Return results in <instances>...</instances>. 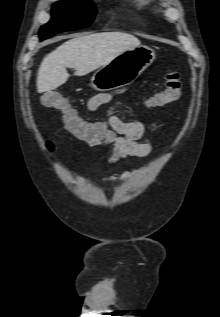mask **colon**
Wrapping results in <instances>:
<instances>
[{
	"label": "colon",
	"mask_w": 220,
	"mask_h": 317,
	"mask_svg": "<svg viewBox=\"0 0 220 317\" xmlns=\"http://www.w3.org/2000/svg\"><path fill=\"white\" fill-rule=\"evenodd\" d=\"M181 89L178 73L175 71L169 72L166 76L165 88L150 98V106L162 107L177 101L181 96ZM41 101L47 107L59 111L62 120L71 131H80L85 128V122L77 116L67 99L60 93L53 90H46L41 95ZM45 147L48 151H53L54 143L47 140Z\"/></svg>",
	"instance_id": "1"
}]
</instances>
